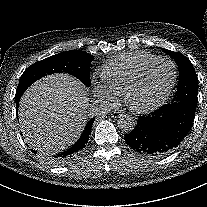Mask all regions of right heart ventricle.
Returning a JSON list of instances; mask_svg holds the SVG:
<instances>
[{
    "label": "right heart ventricle",
    "instance_id": "obj_1",
    "mask_svg": "<svg viewBox=\"0 0 207 207\" xmlns=\"http://www.w3.org/2000/svg\"><path fill=\"white\" fill-rule=\"evenodd\" d=\"M157 56L136 52L125 54L104 65L101 76L114 98L123 97L130 82L138 75L141 69Z\"/></svg>",
    "mask_w": 207,
    "mask_h": 207
}]
</instances>
